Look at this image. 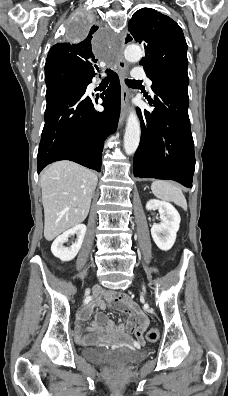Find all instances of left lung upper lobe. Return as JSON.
Wrapping results in <instances>:
<instances>
[{
	"mask_svg": "<svg viewBox=\"0 0 228 396\" xmlns=\"http://www.w3.org/2000/svg\"><path fill=\"white\" fill-rule=\"evenodd\" d=\"M131 36L145 48L140 61L153 83L188 87L187 43L180 26L170 17L151 8L136 11L128 24Z\"/></svg>",
	"mask_w": 228,
	"mask_h": 396,
	"instance_id": "left-lung-upper-lobe-1",
	"label": "left lung upper lobe"
}]
</instances>
